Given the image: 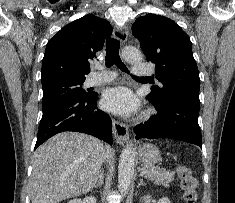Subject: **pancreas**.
<instances>
[{
    "instance_id": "cf45deb5",
    "label": "pancreas",
    "mask_w": 235,
    "mask_h": 203,
    "mask_svg": "<svg viewBox=\"0 0 235 203\" xmlns=\"http://www.w3.org/2000/svg\"><path fill=\"white\" fill-rule=\"evenodd\" d=\"M142 168L147 172L145 175L146 178L154 181L157 185L167 186L174 180L173 172L161 170L160 168L150 164H144Z\"/></svg>"
}]
</instances>
